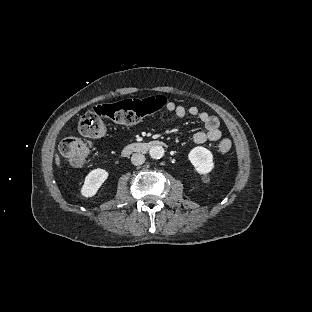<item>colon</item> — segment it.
<instances>
[{
    "instance_id": "1",
    "label": "colon",
    "mask_w": 312,
    "mask_h": 312,
    "mask_svg": "<svg viewBox=\"0 0 312 312\" xmlns=\"http://www.w3.org/2000/svg\"><path fill=\"white\" fill-rule=\"evenodd\" d=\"M166 104L167 98L158 95L95 106L81 116L75 135L62 141L61 152L74 166H82L91 150L89 139L103 137L112 124L131 125L152 116ZM231 148L230 139H223L218 144L221 153H227Z\"/></svg>"
}]
</instances>
